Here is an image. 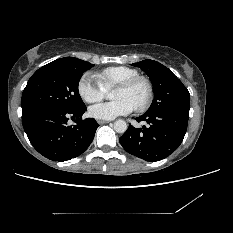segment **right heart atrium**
<instances>
[{
    "label": "right heart atrium",
    "mask_w": 233,
    "mask_h": 233,
    "mask_svg": "<svg viewBox=\"0 0 233 233\" xmlns=\"http://www.w3.org/2000/svg\"><path fill=\"white\" fill-rule=\"evenodd\" d=\"M78 93L87 103H95L106 95V89L90 74H85L78 83Z\"/></svg>",
    "instance_id": "right-heart-atrium-1"
}]
</instances>
